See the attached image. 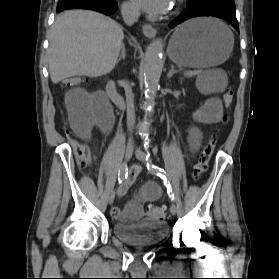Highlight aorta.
Returning <instances> with one entry per match:
<instances>
[{"label": "aorta", "instance_id": "762f6f07", "mask_svg": "<svg viewBox=\"0 0 279 279\" xmlns=\"http://www.w3.org/2000/svg\"><path fill=\"white\" fill-rule=\"evenodd\" d=\"M163 69V44L161 39H156L146 51L143 66L145 78V96L153 101L155 92L159 85Z\"/></svg>", "mask_w": 279, "mask_h": 279}]
</instances>
